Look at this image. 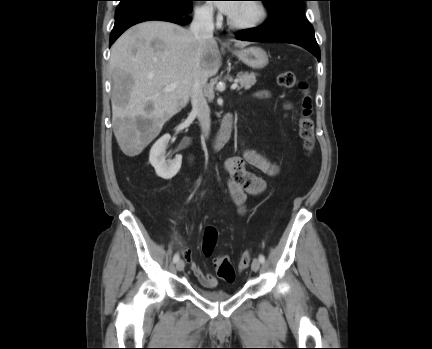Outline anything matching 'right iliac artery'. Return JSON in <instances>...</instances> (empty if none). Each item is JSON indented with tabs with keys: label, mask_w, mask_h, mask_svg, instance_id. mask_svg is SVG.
Returning a JSON list of instances; mask_svg holds the SVG:
<instances>
[{
	"label": "right iliac artery",
	"mask_w": 432,
	"mask_h": 349,
	"mask_svg": "<svg viewBox=\"0 0 432 349\" xmlns=\"http://www.w3.org/2000/svg\"><path fill=\"white\" fill-rule=\"evenodd\" d=\"M179 258H180L179 254L176 253L173 257V262H175V263L178 262Z\"/></svg>",
	"instance_id": "right-iliac-artery-1"
}]
</instances>
